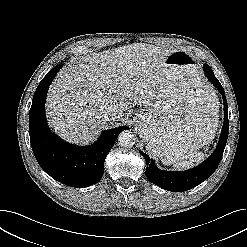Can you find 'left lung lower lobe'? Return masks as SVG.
Returning a JSON list of instances; mask_svg holds the SVG:
<instances>
[{
	"instance_id": "0a47b994",
	"label": "left lung lower lobe",
	"mask_w": 247,
	"mask_h": 247,
	"mask_svg": "<svg viewBox=\"0 0 247 247\" xmlns=\"http://www.w3.org/2000/svg\"><path fill=\"white\" fill-rule=\"evenodd\" d=\"M203 69L210 82L213 83L214 86L218 89V91L222 94L224 102V124L222 127L221 136L217 148L212 153V155L199 166L187 171L179 172L160 170L159 168H157L154 161L150 159V157L147 154L143 153L142 151H139L146 161V177L148 178V180L168 191H186L205 181L209 176L212 175V173L218 167L222 159L224 148L227 142L229 120L225 93L220 82L214 76L212 69L207 64L203 65Z\"/></svg>"
}]
</instances>
